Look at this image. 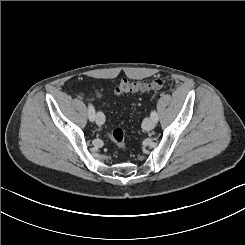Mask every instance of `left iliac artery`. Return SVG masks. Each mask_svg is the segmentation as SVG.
<instances>
[{
	"mask_svg": "<svg viewBox=\"0 0 245 245\" xmlns=\"http://www.w3.org/2000/svg\"><path fill=\"white\" fill-rule=\"evenodd\" d=\"M150 117L153 121H155V122L158 121V114L155 110L151 111Z\"/></svg>",
	"mask_w": 245,
	"mask_h": 245,
	"instance_id": "left-iliac-artery-1",
	"label": "left iliac artery"
}]
</instances>
